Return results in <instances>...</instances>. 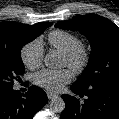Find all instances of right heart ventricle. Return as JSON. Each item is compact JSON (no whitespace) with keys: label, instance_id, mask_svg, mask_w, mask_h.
<instances>
[{"label":"right heart ventricle","instance_id":"e07e8e85","mask_svg":"<svg viewBox=\"0 0 119 119\" xmlns=\"http://www.w3.org/2000/svg\"><path fill=\"white\" fill-rule=\"evenodd\" d=\"M48 42L51 47L65 53L77 45L80 40L79 38L68 31L54 30L48 35Z\"/></svg>","mask_w":119,"mask_h":119}]
</instances>
